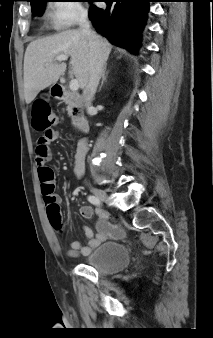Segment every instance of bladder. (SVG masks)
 I'll return each mask as SVG.
<instances>
[{
    "instance_id": "1",
    "label": "bladder",
    "mask_w": 213,
    "mask_h": 338,
    "mask_svg": "<svg viewBox=\"0 0 213 338\" xmlns=\"http://www.w3.org/2000/svg\"><path fill=\"white\" fill-rule=\"evenodd\" d=\"M131 263L128 249L124 243L104 242L88 255L85 265L102 275L123 271Z\"/></svg>"
}]
</instances>
